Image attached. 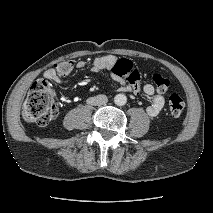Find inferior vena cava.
<instances>
[{
	"instance_id": "obj_1",
	"label": "inferior vena cava",
	"mask_w": 213,
	"mask_h": 213,
	"mask_svg": "<svg viewBox=\"0 0 213 213\" xmlns=\"http://www.w3.org/2000/svg\"><path fill=\"white\" fill-rule=\"evenodd\" d=\"M108 102V98L106 95H97L95 97H90L89 99H87V103L94 105V106H101L104 105Z\"/></svg>"
}]
</instances>
